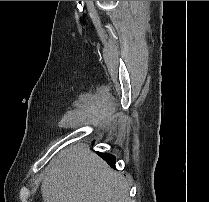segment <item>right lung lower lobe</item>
Wrapping results in <instances>:
<instances>
[{
	"mask_svg": "<svg viewBox=\"0 0 209 202\" xmlns=\"http://www.w3.org/2000/svg\"><path fill=\"white\" fill-rule=\"evenodd\" d=\"M110 166L115 167V156L108 153H98Z\"/></svg>",
	"mask_w": 209,
	"mask_h": 202,
	"instance_id": "1",
	"label": "right lung lower lobe"
}]
</instances>
